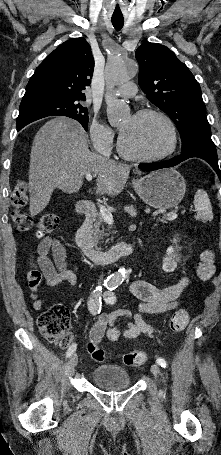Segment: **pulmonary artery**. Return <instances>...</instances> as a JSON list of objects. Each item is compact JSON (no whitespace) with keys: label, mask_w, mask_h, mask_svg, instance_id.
Here are the masks:
<instances>
[{"label":"pulmonary artery","mask_w":221,"mask_h":455,"mask_svg":"<svg viewBox=\"0 0 221 455\" xmlns=\"http://www.w3.org/2000/svg\"><path fill=\"white\" fill-rule=\"evenodd\" d=\"M137 93V86L134 82L123 83L115 92L116 95L123 98L133 97Z\"/></svg>","instance_id":"1"}]
</instances>
